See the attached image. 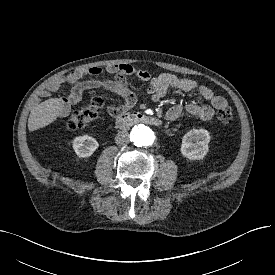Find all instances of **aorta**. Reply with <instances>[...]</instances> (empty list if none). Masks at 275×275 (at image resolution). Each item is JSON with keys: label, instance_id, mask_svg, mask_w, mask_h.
I'll return each instance as SVG.
<instances>
[{"label": "aorta", "instance_id": "1", "mask_svg": "<svg viewBox=\"0 0 275 275\" xmlns=\"http://www.w3.org/2000/svg\"><path fill=\"white\" fill-rule=\"evenodd\" d=\"M130 137L134 145L138 147L151 146L155 140L154 132L143 124L135 126L131 131Z\"/></svg>", "mask_w": 275, "mask_h": 275}]
</instances>
